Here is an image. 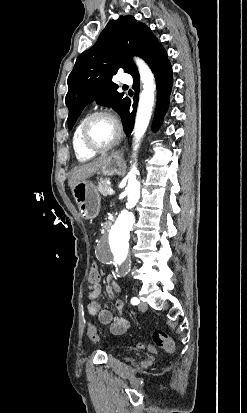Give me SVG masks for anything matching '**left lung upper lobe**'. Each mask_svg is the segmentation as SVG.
Wrapping results in <instances>:
<instances>
[{"mask_svg": "<svg viewBox=\"0 0 247 413\" xmlns=\"http://www.w3.org/2000/svg\"><path fill=\"white\" fill-rule=\"evenodd\" d=\"M162 48L151 30L133 16L111 20L97 43L77 58L68 77V127L71 129L83 108L95 100L112 107L123 120L129 99L117 92L112 75L123 68L134 76L138 70L130 56L138 55L148 62Z\"/></svg>", "mask_w": 247, "mask_h": 413, "instance_id": "1", "label": "left lung upper lobe"}]
</instances>
